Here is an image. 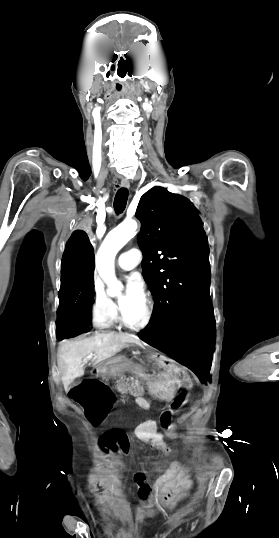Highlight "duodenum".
Listing matches in <instances>:
<instances>
[{
    "mask_svg": "<svg viewBox=\"0 0 279 538\" xmlns=\"http://www.w3.org/2000/svg\"><path fill=\"white\" fill-rule=\"evenodd\" d=\"M138 369L139 371H137ZM116 371H120V373H134L136 381H141L140 377H142L143 386H146V390H151V386L157 387L159 385V382L154 377L156 376V373H147V366H145L144 364H140L139 366L137 364H134L133 366L122 364H100L98 367L94 366L91 368V370L89 371V378L91 380H98L101 376V373L114 374ZM137 400H140V397H137ZM138 405L144 407V410L151 409V406L146 405V402L144 400L139 401Z\"/></svg>",
    "mask_w": 279,
    "mask_h": 538,
    "instance_id": "obj_1",
    "label": "duodenum"
}]
</instances>
